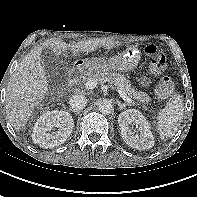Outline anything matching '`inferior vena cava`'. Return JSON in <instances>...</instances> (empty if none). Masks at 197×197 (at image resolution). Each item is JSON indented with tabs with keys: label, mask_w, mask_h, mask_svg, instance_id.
Listing matches in <instances>:
<instances>
[{
	"label": "inferior vena cava",
	"mask_w": 197,
	"mask_h": 197,
	"mask_svg": "<svg viewBox=\"0 0 197 197\" xmlns=\"http://www.w3.org/2000/svg\"><path fill=\"white\" fill-rule=\"evenodd\" d=\"M87 98L82 94H75L69 99V105L73 111L79 112L86 107Z\"/></svg>",
	"instance_id": "1"
}]
</instances>
